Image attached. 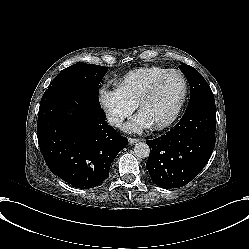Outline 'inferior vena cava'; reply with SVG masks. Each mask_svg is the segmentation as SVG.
Segmentation results:
<instances>
[{"label": "inferior vena cava", "mask_w": 249, "mask_h": 249, "mask_svg": "<svg viewBox=\"0 0 249 249\" xmlns=\"http://www.w3.org/2000/svg\"><path fill=\"white\" fill-rule=\"evenodd\" d=\"M108 123L115 127H120L123 122V118L113 111H109L107 114Z\"/></svg>", "instance_id": "obj_1"}]
</instances>
